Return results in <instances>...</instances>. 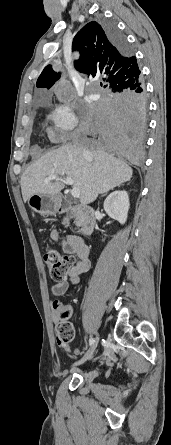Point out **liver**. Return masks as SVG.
Instances as JSON below:
<instances>
[{
    "label": "liver",
    "mask_w": 171,
    "mask_h": 445,
    "mask_svg": "<svg viewBox=\"0 0 171 445\" xmlns=\"http://www.w3.org/2000/svg\"><path fill=\"white\" fill-rule=\"evenodd\" d=\"M133 174L132 168L116 157H106L99 148H88L84 144L65 145L50 151L31 164L21 177L24 202L33 194L55 196L64 188L57 179L45 183L51 176L70 177L74 187L80 190V202L92 203L99 194L127 182Z\"/></svg>",
    "instance_id": "liver-1"
}]
</instances>
